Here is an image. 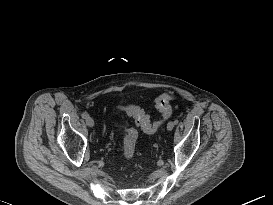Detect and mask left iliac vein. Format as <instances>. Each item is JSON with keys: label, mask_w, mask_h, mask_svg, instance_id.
I'll return each mask as SVG.
<instances>
[{"label": "left iliac vein", "mask_w": 273, "mask_h": 205, "mask_svg": "<svg viewBox=\"0 0 273 205\" xmlns=\"http://www.w3.org/2000/svg\"><path fill=\"white\" fill-rule=\"evenodd\" d=\"M175 126V123L173 121H170L168 124H167V130L171 131Z\"/></svg>", "instance_id": "4c4485c4"}]
</instances>
